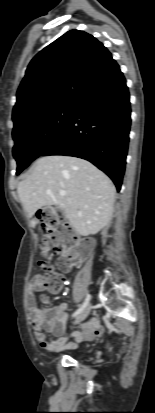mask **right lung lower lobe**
Wrapping results in <instances>:
<instances>
[{"label": "right lung lower lobe", "instance_id": "right-lung-lower-lobe-1", "mask_svg": "<svg viewBox=\"0 0 155 413\" xmlns=\"http://www.w3.org/2000/svg\"><path fill=\"white\" fill-rule=\"evenodd\" d=\"M126 80L120 69L75 106L63 133L40 156L86 159L105 172L120 190L131 125Z\"/></svg>", "mask_w": 155, "mask_h": 413}]
</instances>
